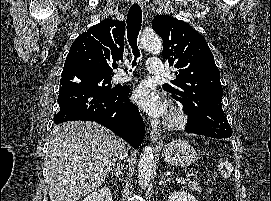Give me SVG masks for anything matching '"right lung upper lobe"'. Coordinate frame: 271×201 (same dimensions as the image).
Here are the masks:
<instances>
[{
    "label": "right lung upper lobe",
    "mask_w": 271,
    "mask_h": 201,
    "mask_svg": "<svg viewBox=\"0 0 271 201\" xmlns=\"http://www.w3.org/2000/svg\"><path fill=\"white\" fill-rule=\"evenodd\" d=\"M125 22L106 19L79 35L65 60L63 72L82 69L113 75L112 67L123 59Z\"/></svg>",
    "instance_id": "1"
}]
</instances>
